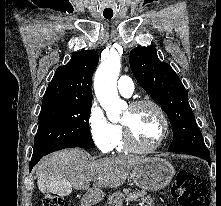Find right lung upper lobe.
<instances>
[{"instance_id":"obj_1","label":"right lung upper lobe","mask_w":221,"mask_h":206,"mask_svg":"<svg viewBox=\"0 0 221 206\" xmlns=\"http://www.w3.org/2000/svg\"><path fill=\"white\" fill-rule=\"evenodd\" d=\"M98 53L84 50L59 67L43 96L42 108L75 107L92 104L91 81Z\"/></svg>"}]
</instances>
